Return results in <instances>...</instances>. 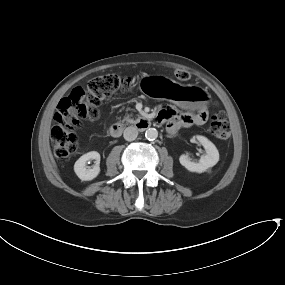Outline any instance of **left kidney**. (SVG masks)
<instances>
[{
    "mask_svg": "<svg viewBox=\"0 0 285 285\" xmlns=\"http://www.w3.org/2000/svg\"><path fill=\"white\" fill-rule=\"evenodd\" d=\"M196 139L204 147L206 154L202 155L199 162L191 161L188 155H181L180 164L191 172L202 173L208 168L213 167L219 161V152L216 146L204 136H196Z\"/></svg>",
    "mask_w": 285,
    "mask_h": 285,
    "instance_id": "1",
    "label": "left kidney"
}]
</instances>
